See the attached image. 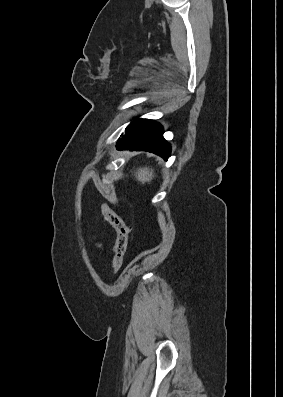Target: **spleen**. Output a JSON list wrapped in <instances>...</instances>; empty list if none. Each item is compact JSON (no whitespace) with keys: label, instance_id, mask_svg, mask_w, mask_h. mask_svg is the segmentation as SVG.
<instances>
[{"label":"spleen","instance_id":"3e777b00","mask_svg":"<svg viewBox=\"0 0 283 397\" xmlns=\"http://www.w3.org/2000/svg\"><path fill=\"white\" fill-rule=\"evenodd\" d=\"M153 178V171H149L147 168H140L136 175V179L142 184H144L145 182H150Z\"/></svg>","mask_w":283,"mask_h":397}]
</instances>
